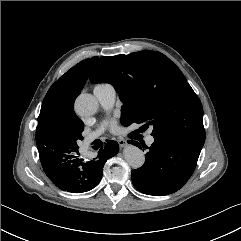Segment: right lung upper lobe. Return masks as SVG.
I'll use <instances>...</instances> for the list:
<instances>
[{
	"label": "right lung upper lobe",
	"instance_id": "1",
	"mask_svg": "<svg viewBox=\"0 0 241 241\" xmlns=\"http://www.w3.org/2000/svg\"><path fill=\"white\" fill-rule=\"evenodd\" d=\"M97 57L76 64L62 75L48 90L38 117L36 141H48L60 127V117H77L73 107L75 98L81 93ZM78 118V117H77Z\"/></svg>",
	"mask_w": 241,
	"mask_h": 241
}]
</instances>
